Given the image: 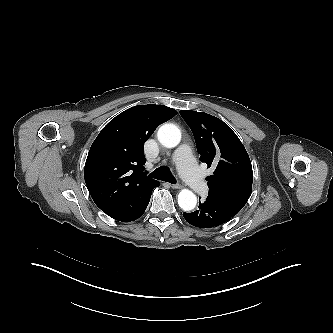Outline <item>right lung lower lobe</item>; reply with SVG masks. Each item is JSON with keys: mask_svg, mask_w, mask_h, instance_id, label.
<instances>
[{"mask_svg": "<svg viewBox=\"0 0 333 333\" xmlns=\"http://www.w3.org/2000/svg\"><path fill=\"white\" fill-rule=\"evenodd\" d=\"M159 185L160 183L157 181L148 188L132 195L128 202L120 209L105 213L121 222H130L138 219L148 206L153 188Z\"/></svg>", "mask_w": 333, "mask_h": 333, "instance_id": "obj_1", "label": "right lung lower lobe"}]
</instances>
